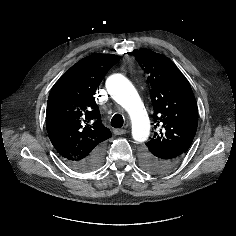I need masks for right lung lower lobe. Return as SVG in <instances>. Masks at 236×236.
<instances>
[{
  "mask_svg": "<svg viewBox=\"0 0 236 236\" xmlns=\"http://www.w3.org/2000/svg\"><path fill=\"white\" fill-rule=\"evenodd\" d=\"M63 160L73 169L81 172H89L97 169L104 160V144L97 147L89 156L83 159Z\"/></svg>",
  "mask_w": 236,
  "mask_h": 236,
  "instance_id": "98d812e1",
  "label": "right lung lower lobe"
}]
</instances>
